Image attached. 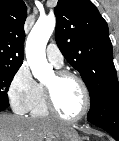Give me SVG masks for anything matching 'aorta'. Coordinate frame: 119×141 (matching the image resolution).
<instances>
[{
  "label": "aorta",
  "instance_id": "obj_1",
  "mask_svg": "<svg viewBox=\"0 0 119 141\" xmlns=\"http://www.w3.org/2000/svg\"><path fill=\"white\" fill-rule=\"evenodd\" d=\"M54 16L38 19L26 41V58L33 76L42 81L52 71V66L47 62L45 49L47 42L55 28Z\"/></svg>",
  "mask_w": 119,
  "mask_h": 141
}]
</instances>
